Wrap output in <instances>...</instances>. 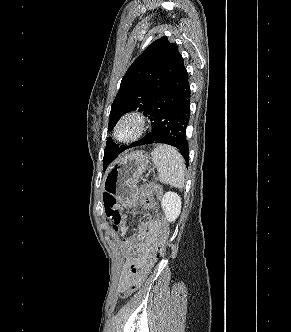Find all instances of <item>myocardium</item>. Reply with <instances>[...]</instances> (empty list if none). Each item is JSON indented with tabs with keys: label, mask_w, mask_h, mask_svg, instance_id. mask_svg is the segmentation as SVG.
Listing matches in <instances>:
<instances>
[{
	"label": "myocardium",
	"mask_w": 291,
	"mask_h": 332,
	"mask_svg": "<svg viewBox=\"0 0 291 332\" xmlns=\"http://www.w3.org/2000/svg\"><path fill=\"white\" fill-rule=\"evenodd\" d=\"M126 122H133L135 124V132L132 136L126 139H121L118 136L120 127ZM148 128V120L142 111L133 110L123 114L118 120L114 128V137L118 142L131 143L141 138Z\"/></svg>",
	"instance_id": "obj_1"
}]
</instances>
